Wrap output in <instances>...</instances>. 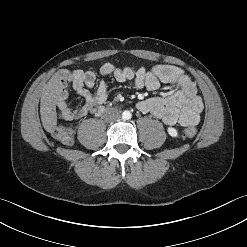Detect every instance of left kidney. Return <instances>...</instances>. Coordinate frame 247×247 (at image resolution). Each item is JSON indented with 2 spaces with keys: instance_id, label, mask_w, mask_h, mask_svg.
<instances>
[{
  "instance_id": "5707ae66",
  "label": "left kidney",
  "mask_w": 247,
  "mask_h": 247,
  "mask_svg": "<svg viewBox=\"0 0 247 247\" xmlns=\"http://www.w3.org/2000/svg\"><path fill=\"white\" fill-rule=\"evenodd\" d=\"M167 131L171 137H177L178 136V131L173 127H168Z\"/></svg>"
}]
</instances>
